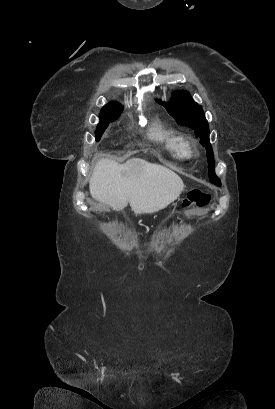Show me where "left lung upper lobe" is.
I'll return each mask as SVG.
<instances>
[{"label":"left lung upper lobe","instance_id":"left-lung-upper-lobe-1","mask_svg":"<svg viewBox=\"0 0 275 409\" xmlns=\"http://www.w3.org/2000/svg\"><path fill=\"white\" fill-rule=\"evenodd\" d=\"M156 101L165 106L169 114L172 115L179 124L191 127L196 131L201 138L200 143L207 151L210 182L220 186V179L214 172V154L209 142L208 122L205 119L202 107L193 101L187 91L175 92L169 103H164L161 100Z\"/></svg>","mask_w":275,"mask_h":409}]
</instances>
